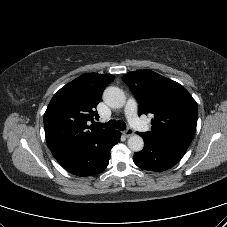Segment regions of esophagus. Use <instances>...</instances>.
<instances>
[{
	"label": "esophagus",
	"instance_id": "esophagus-1",
	"mask_svg": "<svg viewBox=\"0 0 227 227\" xmlns=\"http://www.w3.org/2000/svg\"><path fill=\"white\" fill-rule=\"evenodd\" d=\"M123 134H124L126 137H130V136H132V135L134 134V131H133V129L128 128V129H126V130L123 132Z\"/></svg>",
	"mask_w": 227,
	"mask_h": 227
}]
</instances>
